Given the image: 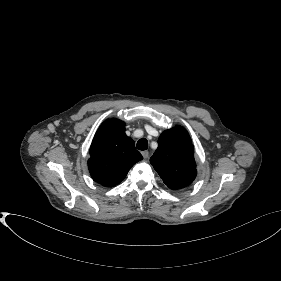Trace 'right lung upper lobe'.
<instances>
[{
  "instance_id": "1",
  "label": "right lung upper lobe",
  "mask_w": 281,
  "mask_h": 281,
  "mask_svg": "<svg viewBox=\"0 0 281 281\" xmlns=\"http://www.w3.org/2000/svg\"><path fill=\"white\" fill-rule=\"evenodd\" d=\"M142 159L134 141L125 134V123L111 119L101 124L93 138L88 168L94 181L112 187L119 184L130 168Z\"/></svg>"
}]
</instances>
